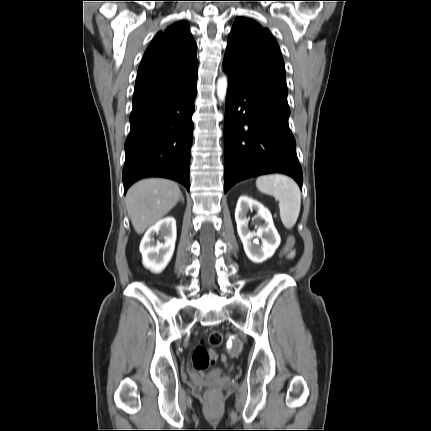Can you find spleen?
Here are the masks:
<instances>
[{
	"label": "spleen",
	"instance_id": "1",
	"mask_svg": "<svg viewBox=\"0 0 431 431\" xmlns=\"http://www.w3.org/2000/svg\"><path fill=\"white\" fill-rule=\"evenodd\" d=\"M256 187L279 201L281 221L287 229H291L298 219L301 206V192L296 182L284 175H263L257 178Z\"/></svg>",
	"mask_w": 431,
	"mask_h": 431
}]
</instances>
